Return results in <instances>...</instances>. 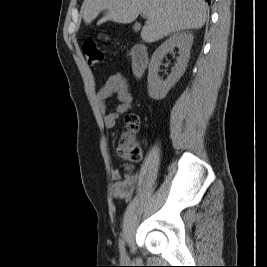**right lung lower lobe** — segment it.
<instances>
[{"label":"right lung lower lobe","mask_w":267,"mask_h":267,"mask_svg":"<svg viewBox=\"0 0 267 267\" xmlns=\"http://www.w3.org/2000/svg\"><path fill=\"white\" fill-rule=\"evenodd\" d=\"M207 2L210 4V0H207Z\"/></svg>","instance_id":"1"}]
</instances>
